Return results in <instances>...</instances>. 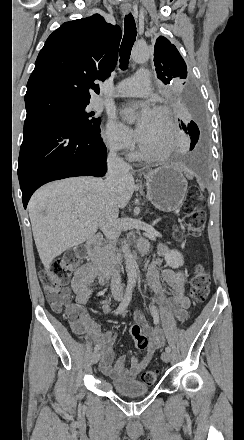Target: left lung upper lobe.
I'll return each instance as SVG.
<instances>
[{
  "mask_svg": "<svg viewBox=\"0 0 244 440\" xmlns=\"http://www.w3.org/2000/svg\"><path fill=\"white\" fill-rule=\"evenodd\" d=\"M154 65L157 77L164 83L187 77V67L176 47L160 36L155 43Z\"/></svg>",
  "mask_w": 244,
  "mask_h": 440,
  "instance_id": "1",
  "label": "left lung upper lobe"
}]
</instances>
